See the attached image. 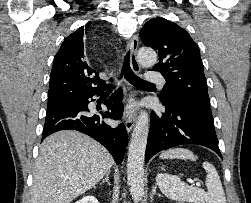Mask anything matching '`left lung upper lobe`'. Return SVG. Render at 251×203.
Listing matches in <instances>:
<instances>
[{"label":"left lung upper lobe","mask_w":251,"mask_h":203,"mask_svg":"<svg viewBox=\"0 0 251 203\" xmlns=\"http://www.w3.org/2000/svg\"><path fill=\"white\" fill-rule=\"evenodd\" d=\"M140 37L159 53V63L152 70L166 80L161 101L172 104L185 99L210 110L200 51L188 32L164 18H153L145 23Z\"/></svg>","instance_id":"obj_1"}]
</instances>
